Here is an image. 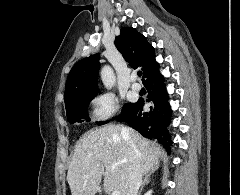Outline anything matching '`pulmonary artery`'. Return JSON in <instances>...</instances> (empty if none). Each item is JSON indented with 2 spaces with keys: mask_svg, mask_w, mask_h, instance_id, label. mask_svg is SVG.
<instances>
[{
  "mask_svg": "<svg viewBox=\"0 0 240 195\" xmlns=\"http://www.w3.org/2000/svg\"><path fill=\"white\" fill-rule=\"evenodd\" d=\"M132 89L137 92H139L142 89L141 84L138 83L135 78L132 79Z\"/></svg>",
  "mask_w": 240,
  "mask_h": 195,
  "instance_id": "1",
  "label": "pulmonary artery"
}]
</instances>
